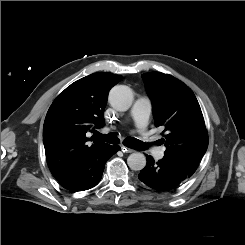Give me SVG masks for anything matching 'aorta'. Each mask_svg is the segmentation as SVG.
Wrapping results in <instances>:
<instances>
[{
  "label": "aorta",
  "instance_id": "1",
  "mask_svg": "<svg viewBox=\"0 0 245 245\" xmlns=\"http://www.w3.org/2000/svg\"><path fill=\"white\" fill-rule=\"evenodd\" d=\"M110 105L118 111H127L133 103V92L125 85L114 86L109 93ZM130 169L138 171L146 166V157L142 153H132L127 158Z\"/></svg>",
  "mask_w": 245,
  "mask_h": 245
}]
</instances>
